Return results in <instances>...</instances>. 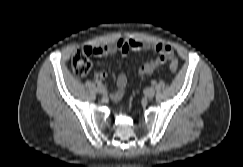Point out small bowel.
<instances>
[{
    "instance_id": "small-bowel-1",
    "label": "small bowel",
    "mask_w": 243,
    "mask_h": 167,
    "mask_svg": "<svg viewBox=\"0 0 243 167\" xmlns=\"http://www.w3.org/2000/svg\"><path fill=\"white\" fill-rule=\"evenodd\" d=\"M130 50H147L156 54V57L152 60L144 62L138 69V75H151L155 69L165 64L174 55L172 47L165 43H144L132 38H121L114 44L108 46H100L92 48L93 54L96 56H106L120 54L122 57H126ZM107 74L99 71L94 74L96 81H103L106 79ZM127 84V77L124 73H120L117 77L118 90L112 94V99L118 101L123 96V90Z\"/></svg>"
}]
</instances>
